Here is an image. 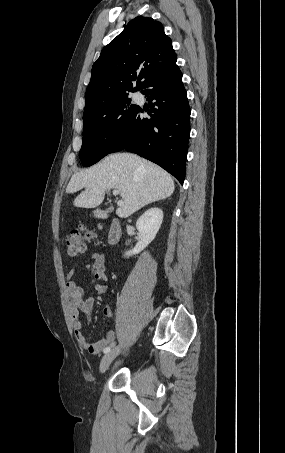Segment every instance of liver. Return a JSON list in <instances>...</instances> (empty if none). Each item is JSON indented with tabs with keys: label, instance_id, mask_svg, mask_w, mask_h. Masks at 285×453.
I'll return each mask as SVG.
<instances>
[{
	"label": "liver",
	"instance_id": "obj_1",
	"mask_svg": "<svg viewBox=\"0 0 285 453\" xmlns=\"http://www.w3.org/2000/svg\"><path fill=\"white\" fill-rule=\"evenodd\" d=\"M83 188L73 202L75 207L95 208L102 203L107 190L117 189L122 201L116 214L127 218L143 206L171 196L175 186L171 175L156 164L134 154L116 153L75 173L66 192Z\"/></svg>",
	"mask_w": 285,
	"mask_h": 453
}]
</instances>
